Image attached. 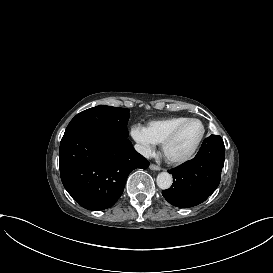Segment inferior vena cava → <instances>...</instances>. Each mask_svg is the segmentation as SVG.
Returning <instances> with one entry per match:
<instances>
[{
  "mask_svg": "<svg viewBox=\"0 0 273 273\" xmlns=\"http://www.w3.org/2000/svg\"><path fill=\"white\" fill-rule=\"evenodd\" d=\"M134 148L137 152H139L140 154H142L145 157H149V149L146 148L145 146L141 145V144H135Z\"/></svg>",
  "mask_w": 273,
  "mask_h": 273,
  "instance_id": "1",
  "label": "inferior vena cava"
}]
</instances>
